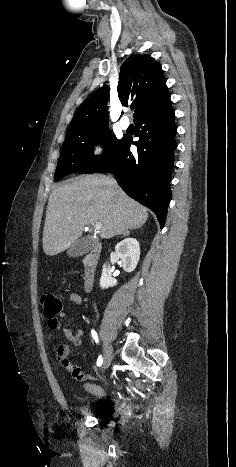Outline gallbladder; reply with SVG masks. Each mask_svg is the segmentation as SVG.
<instances>
[{
	"instance_id": "gallbladder-1",
	"label": "gallbladder",
	"mask_w": 236,
	"mask_h": 467,
	"mask_svg": "<svg viewBox=\"0 0 236 467\" xmlns=\"http://www.w3.org/2000/svg\"><path fill=\"white\" fill-rule=\"evenodd\" d=\"M92 248V240L81 238L76 240L68 249L67 254L70 257H79L89 252Z\"/></svg>"
}]
</instances>
